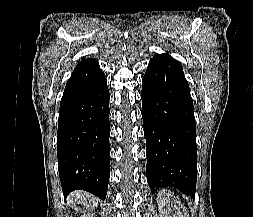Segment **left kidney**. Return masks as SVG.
<instances>
[{"mask_svg":"<svg viewBox=\"0 0 253 217\" xmlns=\"http://www.w3.org/2000/svg\"><path fill=\"white\" fill-rule=\"evenodd\" d=\"M157 201L159 212L164 217H188L186 208L182 206L180 200L172 192L161 190L158 193Z\"/></svg>","mask_w":253,"mask_h":217,"instance_id":"1","label":"left kidney"}]
</instances>
